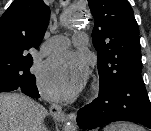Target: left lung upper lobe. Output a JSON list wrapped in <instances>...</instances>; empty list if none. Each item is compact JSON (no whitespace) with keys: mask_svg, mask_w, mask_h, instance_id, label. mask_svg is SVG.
Instances as JSON below:
<instances>
[{"mask_svg":"<svg viewBox=\"0 0 151 131\" xmlns=\"http://www.w3.org/2000/svg\"><path fill=\"white\" fill-rule=\"evenodd\" d=\"M95 19L92 41L98 52L100 90L141 72L139 29L127 0H88Z\"/></svg>","mask_w":151,"mask_h":131,"instance_id":"1","label":"left lung upper lobe"}]
</instances>
